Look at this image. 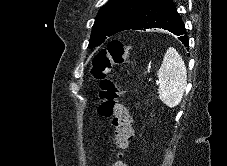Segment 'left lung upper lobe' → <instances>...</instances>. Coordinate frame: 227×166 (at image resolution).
Returning <instances> with one entry per match:
<instances>
[{
	"instance_id": "left-lung-upper-lobe-1",
	"label": "left lung upper lobe",
	"mask_w": 227,
	"mask_h": 166,
	"mask_svg": "<svg viewBox=\"0 0 227 166\" xmlns=\"http://www.w3.org/2000/svg\"><path fill=\"white\" fill-rule=\"evenodd\" d=\"M146 1L109 0L96 16L88 47L99 46L108 37L129 30Z\"/></svg>"
}]
</instances>
